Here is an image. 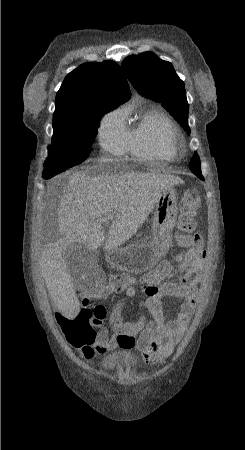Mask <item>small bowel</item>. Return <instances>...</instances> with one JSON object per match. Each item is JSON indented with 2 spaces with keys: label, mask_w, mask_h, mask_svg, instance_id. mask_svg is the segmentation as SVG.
<instances>
[{
  "label": "small bowel",
  "mask_w": 245,
  "mask_h": 450,
  "mask_svg": "<svg viewBox=\"0 0 245 450\" xmlns=\"http://www.w3.org/2000/svg\"><path fill=\"white\" fill-rule=\"evenodd\" d=\"M205 257V250L190 249L177 258L174 264L166 265L161 272L146 275L122 289L129 297L143 293V305L153 313V320L140 318L133 323L125 322L122 318L124 304L117 303L109 319L112 332L109 333L107 325L103 324L98 327L97 336L91 343L75 344L67 338L73 349L86 359H91L95 353L105 354L117 346L126 347L122 335L139 333L134 348L141 352L144 362L151 364L169 357L180 342L195 311L196 289L206 266ZM175 275H180L178 282L169 280ZM112 290L116 291L104 287L95 297H108ZM72 298L73 294L69 290L56 305L55 319L61 329L63 319L74 316L77 312L74 302H70ZM166 298H177L183 302L179 308H175L174 317L168 320L164 319L162 313V302Z\"/></svg>",
  "instance_id": "obj_1"
}]
</instances>
